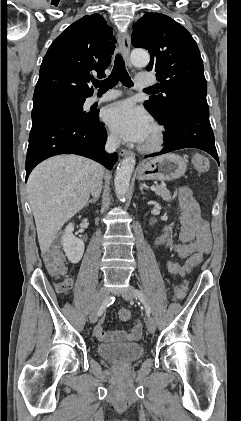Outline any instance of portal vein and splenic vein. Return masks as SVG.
<instances>
[{"mask_svg":"<svg viewBox=\"0 0 241 421\" xmlns=\"http://www.w3.org/2000/svg\"><path fill=\"white\" fill-rule=\"evenodd\" d=\"M151 190H152V191H155V190H156V188H155L154 186H152V187H151Z\"/></svg>","mask_w":241,"mask_h":421,"instance_id":"18ae733b","label":"portal vein and splenic vein"}]
</instances>
